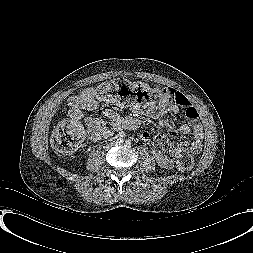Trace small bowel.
<instances>
[{
    "instance_id": "obj_1",
    "label": "small bowel",
    "mask_w": 253,
    "mask_h": 253,
    "mask_svg": "<svg viewBox=\"0 0 253 253\" xmlns=\"http://www.w3.org/2000/svg\"><path fill=\"white\" fill-rule=\"evenodd\" d=\"M168 99L162 103L146 109L144 112L158 122H164L170 113H178L183 110L185 121L181 123L177 131L171 129L172 140L167 152L162 140L154 142L151 154L156 163L165 170L171 169L173 161L178 153L183 149H190L193 153H198L202 149L203 130L199 124V113L197 108L182 93L173 88H164ZM68 116L73 121L80 120L84 114L94 111L97 108L96 92L93 87L86 88L68 99ZM132 114L141 111L135 107L130 108ZM103 115L109 119L110 126L101 118L88 114L85 117L86 125L90 134V139L94 142L111 136L115 131L122 128H133L136 124L135 117L123 118L112 109H105ZM191 135L188 141L184 139ZM145 143H149L151 134L144 131L141 135Z\"/></svg>"
}]
</instances>
